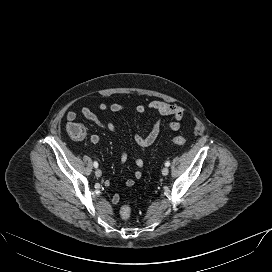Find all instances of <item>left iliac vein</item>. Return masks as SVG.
Segmentation results:
<instances>
[{"instance_id": "obj_1", "label": "left iliac vein", "mask_w": 272, "mask_h": 272, "mask_svg": "<svg viewBox=\"0 0 272 272\" xmlns=\"http://www.w3.org/2000/svg\"><path fill=\"white\" fill-rule=\"evenodd\" d=\"M168 173H169V169H168L167 167H164V168L162 169V174H163L164 176H166V175H168Z\"/></svg>"}]
</instances>
